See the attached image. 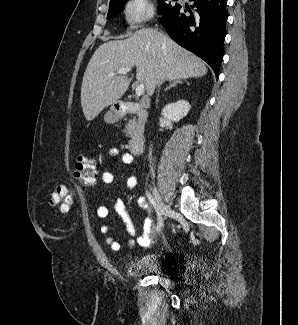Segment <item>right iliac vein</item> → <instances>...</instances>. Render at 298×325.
<instances>
[{
    "label": "right iliac vein",
    "instance_id": "63e3f726",
    "mask_svg": "<svg viewBox=\"0 0 298 325\" xmlns=\"http://www.w3.org/2000/svg\"><path fill=\"white\" fill-rule=\"evenodd\" d=\"M153 200L160 216L164 215L166 207L156 187L153 189Z\"/></svg>",
    "mask_w": 298,
    "mask_h": 325
}]
</instances>
